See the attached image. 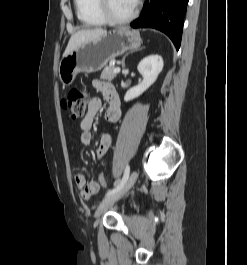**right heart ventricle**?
I'll use <instances>...</instances> for the list:
<instances>
[{
  "mask_svg": "<svg viewBox=\"0 0 247 265\" xmlns=\"http://www.w3.org/2000/svg\"><path fill=\"white\" fill-rule=\"evenodd\" d=\"M77 16L86 26H102L106 24L97 8V0H74Z\"/></svg>",
  "mask_w": 247,
  "mask_h": 265,
  "instance_id": "right-heart-ventricle-1",
  "label": "right heart ventricle"
}]
</instances>
